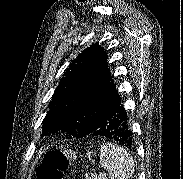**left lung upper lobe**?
Returning a JSON list of instances; mask_svg holds the SVG:
<instances>
[{
  "instance_id": "5c2ea615",
  "label": "left lung upper lobe",
  "mask_w": 183,
  "mask_h": 179,
  "mask_svg": "<svg viewBox=\"0 0 183 179\" xmlns=\"http://www.w3.org/2000/svg\"><path fill=\"white\" fill-rule=\"evenodd\" d=\"M106 60L105 51L97 43L69 65L42 122V136L61 131L68 138H81L104 123L119 97Z\"/></svg>"
}]
</instances>
